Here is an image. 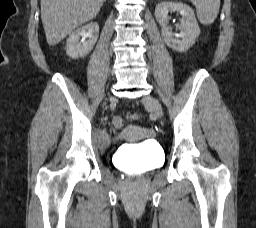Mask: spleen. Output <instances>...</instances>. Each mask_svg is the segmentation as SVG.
I'll list each match as a JSON object with an SVG mask.
<instances>
[{
    "label": "spleen",
    "instance_id": "obj_1",
    "mask_svg": "<svg viewBox=\"0 0 256 228\" xmlns=\"http://www.w3.org/2000/svg\"><path fill=\"white\" fill-rule=\"evenodd\" d=\"M196 7L197 17L203 25L215 21L220 9V0H190Z\"/></svg>",
    "mask_w": 256,
    "mask_h": 228
}]
</instances>
